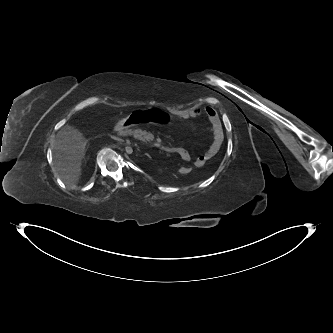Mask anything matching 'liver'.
I'll return each mask as SVG.
<instances>
[{"label":"liver","instance_id":"obj_1","mask_svg":"<svg viewBox=\"0 0 333 333\" xmlns=\"http://www.w3.org/2000/svg\"><path fill=\"white\" fill-rule=\"evenodd\" d=\"M87 139L76 128L66 125L56 135L53 166L66 185L75 188L81 176Z\"/></svg>","mask_w":333,"mask_h":333}]
</instances>
